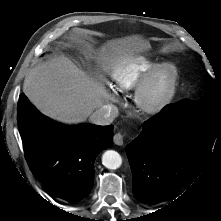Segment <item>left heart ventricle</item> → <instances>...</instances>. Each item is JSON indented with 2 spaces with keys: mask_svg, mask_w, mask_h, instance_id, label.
<instances>
[{
  "mask_svg": "<svg viewBox=\"0 0 221 221\" xmlns=\"http://www.w3.org/2000/svg\"><path fill=\"white\" fill-rule=\"evenodd\" d=\"M169 74L164 72L159 76L158 83L156 86V93H160L169 82Z\"/></svg>",
  "mask_w": 221,
  "mask_h": 221,
  "instance_id": "b2bd125f",
  "label": "left heart ventricle"
}]
</instances>
